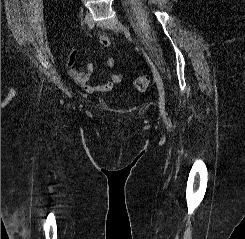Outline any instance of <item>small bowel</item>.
Returning a JSON list of instances; mask_svg holds the SVG:
<instances>
[{
    "mask_svg": "<svg viewBox=\"0 0 245 239\" xmlns=\"http://www.w3.org/2000/svg\"><path fill=\"white\" fill-rule=\"evenodd\" d=\"M99 43L105 47L110 46V41L107 36L101 34L98 39ZM77 56L78 51L72 50L68 56V76L81 88L88 93L106 92L112 90L117 84L122 81V74L112 73L108 79L102 83H91V75L94 71L93 64L89 63L83 68H77ZM107 67L113 68L115 66V60L112 57H107L105 60Z\"/></svg>",
    "mask_w": 245,
    "mask_h": 239,
    "instance_id": "small-bowel-1",
    "label": "small bowel"
}]
</instances>
